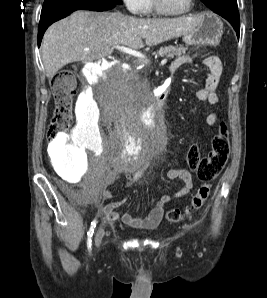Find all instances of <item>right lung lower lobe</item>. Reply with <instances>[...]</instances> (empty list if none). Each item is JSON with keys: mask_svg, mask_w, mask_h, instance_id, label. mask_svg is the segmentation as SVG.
Returning a JSON list of instances; mask_svg holds the SVG:
<instances>
[{"mask_svg": "<svg viewBox=\"0 0 267 298\" xmlns=\"http://www.w3.org/2000/svg\"><path fill=\"white\" fill-rule=\"evenodd\" d=\"M117 4L107 0H56L42 8L38 28V46L46 29L55 21L60 20L76 10L106 11Z\"/></svg>", "mask_w": 267, "mask_h": 298, "instance_id": "obj_1", "label": "right lung lower lobe"}]
</instances>
